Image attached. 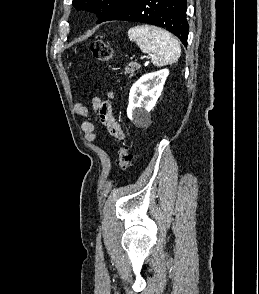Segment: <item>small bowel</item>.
Masks as SVG:
<instances>
[{
  "instance_id": "small-bowel-1",
  "label": "small bowel",
  "mask_w": 259,
  "mask_h": 294,
  "mask_svg": "<svg viewBox=\"0 0 259 294\" xmlns=\"http://www.w3.org/2000/svg\"><path fill=\"white\" fill-rule=\"evenodd\" d=\"M109 97H112V94H109ZM92 109L99 121V123L114 137L119 140H123L125 138V134L116 121L112 106L110 101L102 100L100 97H94L92 99ZM73 111L76 115L82 118V122L80 124L81 131L83 132L86 140L94 141L96 138L95 125L93 122L87 119L89 115V110L86 106L81 103H76L73 106Z\"/></svg>"
}]
</instances>
